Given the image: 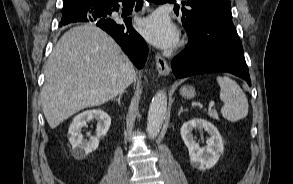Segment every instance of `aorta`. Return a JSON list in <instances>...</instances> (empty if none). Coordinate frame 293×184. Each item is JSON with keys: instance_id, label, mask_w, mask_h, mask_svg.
I'll return each mask as SVG.
<instances>
[{"instance_id": "aorta-1", "label": "aorta", "mask_w": 293, "mask_h": 184, "mask_svg": "<svg viewBox=\"0 0 293 184\" xmlns=\"http://www.w3.org/2000/svg\"><path fill=\"white\" fill-rule=\"evenodd\" d=\"M167 111V95L161 90L153 97L147 118V132L150 138H155L163 124Z\"/></svg>"}]
</instances>
